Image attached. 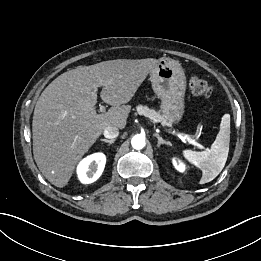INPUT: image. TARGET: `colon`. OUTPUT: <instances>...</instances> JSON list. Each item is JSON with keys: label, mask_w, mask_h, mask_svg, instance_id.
Returning a JSON list of instances; mask_svg holds the SVG:
<instances>
[{"label": "colon", "mask_w": 261, "mask_h": 261, "mask_svg": "<svg viewBox=\"0 0 261 261\" xmlns=\"http://www.w3.org/2000/svg\"><path fill=\"white\" fill-rule=\"evenodd\" d=\"M189 87L193 95L208 98L213 93V87L203 78L193 75L189 80Z\"/></svg>", "instance_id": "1"}]
</instances>
